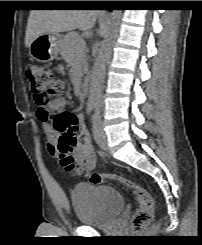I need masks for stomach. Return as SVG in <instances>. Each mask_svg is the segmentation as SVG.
<instances>
[{
	"label": "stomach",
	"mask_w": 202,
	"mask_h": 245,
	"mask_svg": "<svg viewBox=\"0 0 202 245\" xmlns=\"http://www.w3.org/2000/svg\"><path fill=\"white\" fill-rule=\"evenodd\" d=\"M62 36L59 33H45L35 38L29 47L30 55L39 62H49L60 52Z\"/></svg>",
	"instance_id": "obj_1"
}]
</instances>
